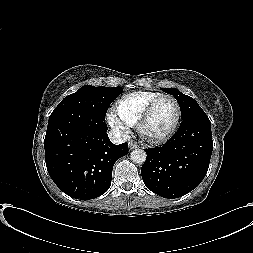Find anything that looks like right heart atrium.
I'll return each instance as SVG.
<instances>
[{"instance_id": "obj_1", "label": "right heart atrium", "mask_w": 253, "mask_h": 253, "mask_svg": "<svg viewBox=\"0 0 253 253\" xmlns=\"http://www.w3.org/2000/svg\"><path fill=\"white\" fill-rule=\"evenodd\" d=\"M109 125L121 136L126 137L129 134V128L113 112L107 114Z\"/></svg>"}]
</instances>
